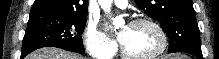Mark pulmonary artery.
I'll return each instance as SVG.
<instances>
[{"instance_id":"obj_1","label":"pulmonary artery","mask_w":219,"mask_h":59,"mask_svg":"<svg viewBox=\"0 0 219 59\" xmlns=\"http://www.w3.org/2000/svg\"><path fill=\"white\" fill-rule=\"evenodd\" d=\"M114 3L117 7L122 8V9L126 8L128 5V1L126 0H115Z\"/></svg>"}]
</instances>
